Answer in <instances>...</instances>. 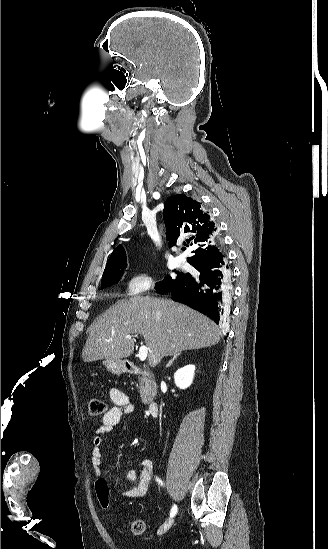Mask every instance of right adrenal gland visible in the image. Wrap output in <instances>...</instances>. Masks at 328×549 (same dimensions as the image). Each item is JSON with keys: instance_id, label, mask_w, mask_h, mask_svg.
<instances>
[{"instance_id": "obj_1", "label": "right adrenal gland", "mask_w": 328, "mask_h": 549, "mask_svg": "<svg viewBox=\"0 0 328 549\" xmlns=\"http://www.w3.org/2000/svg\"><path fill=\"white\" fill-rule=\"evenodd\" d=\"M176 357H178V355H174L173 359H171V361H174V359H176Z\"/></svg>"}]
</instances>
